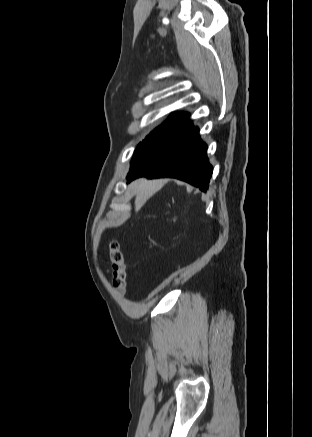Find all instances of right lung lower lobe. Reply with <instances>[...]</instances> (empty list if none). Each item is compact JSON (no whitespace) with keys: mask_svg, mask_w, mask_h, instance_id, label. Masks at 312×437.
Segmentation results:
<instances>
[{"mask_svg":"<svg viewBox=\"0 0 312 437\" xmlns=\"http://www.w3.org/2000/svg\"><path fill=\"white\" fill-rule=\"evenodd\" d=\"M206 151L197 127H191L171 143L133 156L127 180L173 177L206 191L213 172Z\"/></svg>","mask_w":312,"mask_h":437,"instance_id":"98d812e1","label":"right lung lower lobe"}]
</instances>
